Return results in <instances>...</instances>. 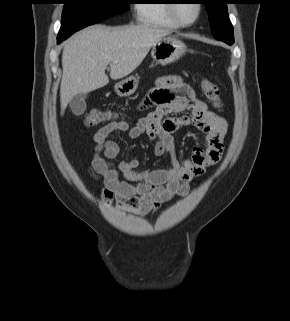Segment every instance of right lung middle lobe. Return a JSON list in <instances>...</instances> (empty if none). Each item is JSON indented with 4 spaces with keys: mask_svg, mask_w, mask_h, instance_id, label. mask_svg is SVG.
<instances>
[{
    "mask_svg": "<svg viewBox=\"0 0 290 321\" xmlns=\"http://www.w3.org/2000/svg\"><path fill=\"white\" fill-rule=\"evenodd\" d=\"M61 29L58 38L66 39L74 32L129 9V0H63Z\"/></svg>",
    "mask_w": 290,
    "mask_h": 321,
    "instance_id": "obj_1",
    "label": "right lung middle lobe"
}]
</instances>
